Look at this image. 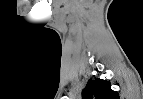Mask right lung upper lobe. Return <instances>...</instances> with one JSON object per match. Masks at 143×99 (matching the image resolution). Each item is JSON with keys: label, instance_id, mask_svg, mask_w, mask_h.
<instances>
[{"label": "right lung upper lobe", "instance_id": "obj_1", "mask_svg": "<svg viewBox=\"0 0 143 99\" xmlns=\"http://www.w3.org/2000/svg\"><path fill=\"white\" fill-rule=\"evenodd\" d=\"M82 99H119V95L111 89L109 81L93 78L83 89Z\"/></svg>", "mask_w": 143, "mask_h": 99}]
</instances>
